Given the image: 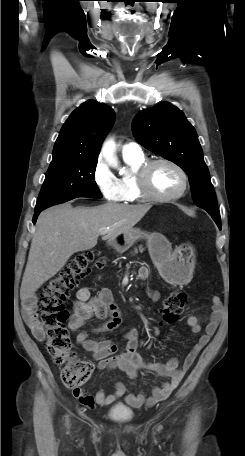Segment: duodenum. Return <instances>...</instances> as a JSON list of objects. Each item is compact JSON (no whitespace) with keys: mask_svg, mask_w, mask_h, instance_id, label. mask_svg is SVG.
Here are the masks:
<instances>
[{"mask_svg":"<svg viewBox=\"0 0 245 456\" xmlns=\"http://www.w3.org/2000/svg\"><path fill=\"white\" fill-rule=\"evenodd\" d=\"M115 245H116L115 242H111V243L109 244L110 247H114Z\"/></svg>","mask_w":245,"mask_h":456,"instance_id":"410a0bca","label":"duodenum"}]
</instances>
